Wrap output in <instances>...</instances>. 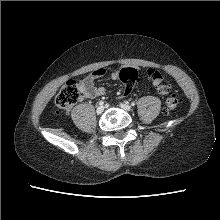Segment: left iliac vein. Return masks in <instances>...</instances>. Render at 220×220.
<instances>
[{
	"label": "left iliac vein",
	"mask_w": 220,
	"mask_h": 220,
	"mask_svg": "<svg viewBox=\"0 0 220 220\" xmlns=\"http://www.w3.org/2000/svg\"><path fill=\"white\" fill-rule=\"evenodd\" d=\"M120 107L125 110V111H130L131 110V106L127 103H121Z\"/></svg>",
	"instance_id": "1"
}]
</instances>
